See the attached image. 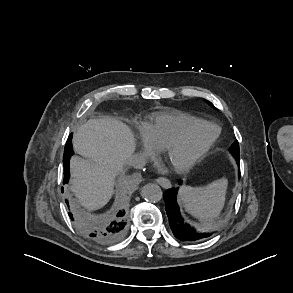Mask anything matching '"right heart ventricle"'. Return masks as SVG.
<instances>
[{
    "mask_svg": "<svg viewBox=\"0 0 293 293\" xmlns=\"http://www.w3.org/2000/svg\"><path fill=\"white\" fill-rule=\"evenodd\" d=\"M200 119L178 110L163 111L155 114L143 127L142 133L147 142L161 150L175 141L190 124Z\"/></svg>",
    "mask_w": 293,
    "mask_h": 293,
    "instance_id": "obj_1",
    "label": "right heart ventricle"
}]
</instances>
